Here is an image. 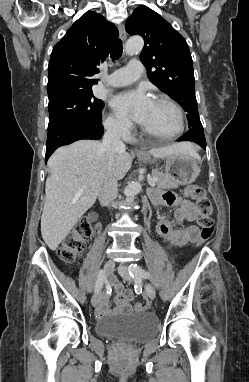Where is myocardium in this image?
<instances>
[{"instance_id": "1", "label": "myocardium", "mask_w": 249, "mask_h": 382, "mask_svg": "<svg viewBox=\"0 0 249 382\" xmlns=\"http://www.w3.org/2000/svg\"><path fill=\"white\" fill-rule=\"evenodd\" d=\"M155 101L156 102L166 103V104H168L169 106H171L174 109V111L176 112V115H177V119H178V128H177V131L174 134H172V135L160 136V135H156V134L151 133L150 131L145 129L143 126H141L142 132L146 136H148L150 138H153V139H156V140H159V141H172V140H175L176 138H178L183 133L184 128H185V117H184V112H183L182 108L173 99H171V98H169L167 96H164V95L157 96L155 98Z\"/></svg>"}]
</instances>
